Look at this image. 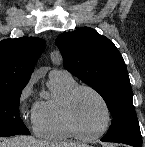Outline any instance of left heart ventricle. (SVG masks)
<instances>
[{
	"mask_svg": "<svg viewBox=\"0 0 145 147\" xmlns=\"http://www.w3.org/2000/svg\"><path fill=\"white\" fill-rule=\"evenodd\" d=\"M74 113L79 125L89 133L101 130L106 113L99 99L89 91H81L74 101Z\"/></svg>",
	"mask_w": 145,
	"mask_h": 147,
	"instance_id": "b2bd125f",
	"label": "left heart ventricle"
}]
</instances>
